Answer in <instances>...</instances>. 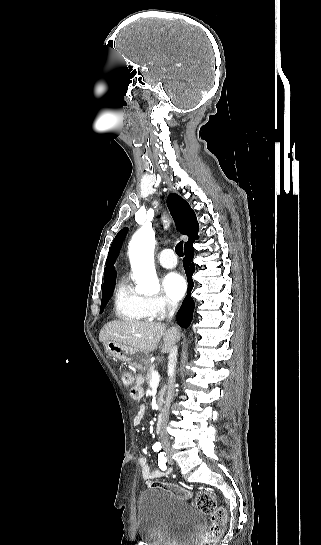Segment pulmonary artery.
Instances as JSON below:
<instances>
[{
    "mask_svg": "<svg viewBox=\"0 0 321 545\" xmlns=\"http://www.w3.org/2000/svg\"><path fill=\"white\" fill-rule=\"evenodd\" d=\"M174 254L171 249L161 250L157 255L158 263L164 268H174L177 265V260L173 259Z\"/></svg>",
    "mask_w": 321,
    "mask_h": 545,
    "instance_id": "1",
    "label": "pulmonary artery"
}]
</instances>
